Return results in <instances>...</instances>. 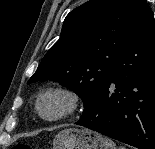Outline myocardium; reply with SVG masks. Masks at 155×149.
<instances>
[{"mask_svg":"<svg viewBox=\"0 0 155 149\" xmlns=\"http://www.w3.org/2000/svg\"><path fill=\"white\" fill-rule=\"evenodd\" d=\"M59 97L64 102L63 110L53 117L44 115L41 109L42 101L47 97ZM80 97L78 93L63 86L48 87L41 91L35 101V112L44 121L58 122L72 117L79 109Z\"/></svg>","mask_w":155,"mask_h":149,"instance_id":"1","label":"myocardium"}]
</instances>
